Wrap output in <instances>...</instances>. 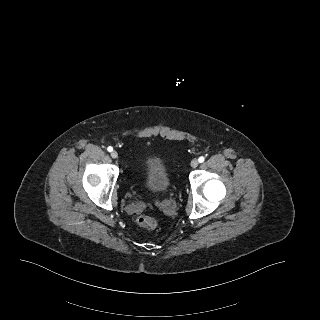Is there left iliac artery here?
<instances>
[{"mask_svg": "<svg viewBox=\"0 0 320 320\" xmlns=\"http://www.w3.org/2000/svg\"><path fill=\"white\" fill-rule=\"evenodd\" d=\"M198 160L200 163H202L205 160V158L203 156H201Z\"/></svg>", "mask_w": 320, "mask_h": 320, "instance_id": "44dca946", "label": "left iliac artery"}]
</instances>
